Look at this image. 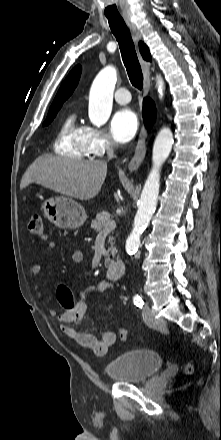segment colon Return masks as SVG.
I'll list each match as a JSON object with an SVG mask.
<instances>
[{
	"instance_id": "obj_1",
	"label": "colon",
	"mask_w": 221,
	"mask_h": 440,
	"mask_svg": "<svg viewBox=\"0 0 221 440\" xmlns=\"http://www.w3.org/2000/svg\"><path fill=\"white\" fill-rule=\"evenodd\" d=\"M29 231L38 237L41 240H45L47 238L43 219L41 215L34 214L31 216L28 223ZM56 294L58 299L62 302L61 306L63 307L62 312L64 315H71L73 309L78 306L76 297H72V293L70 288L66 284H60L57 287ZM113 328L115 332H118V338L126 341L129 338V331L125 330L122 323L113 322ZM186 372H191L192 367L190 364H187L185 367Z\"/></svg>"
}]
</instances>
